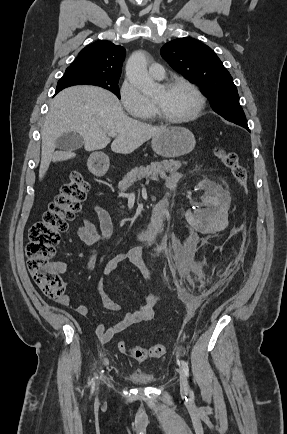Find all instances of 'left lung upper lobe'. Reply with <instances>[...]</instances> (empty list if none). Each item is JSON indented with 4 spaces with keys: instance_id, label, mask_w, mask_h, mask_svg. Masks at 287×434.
I'll return each instance as SVG.
<instances>
[{
    "instance_id": "1",
    "label": "left lung upper lobe",
    "mask_w": 287,
    "mask_h": 434,
    "mask_svg": "<svg viewBox=\"0 0 287 434\" xmlns=\"http://www.w3.org/2000/svg\"><path fill=\"white\" fill-rule=\"evenodd\" d=\"M162 57L189 81L198 84L213 110L228 118H245L237 88L216 53L194 38H178L161 48Z\"/></svg>"
}]
</instances>
